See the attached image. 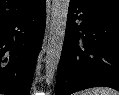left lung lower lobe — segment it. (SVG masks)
I'll use <instances>...</instances> for the list:
<instances>
[{
  "mask_svg": "<svg viewBox=\"0 0 119 95\" xmlns=\"http://www.w3.org/2000/svg\"><path fill=\"white\" fill-rule=\"evenodd\" d=\"M97 86L119 91V14L70 0L55 95Z\"/></svg>",
  "mask_w": 119,
  "mask_h": 95,
  "instance_id": "1",
  "label": "left lung lower lobe"
}]
</instances>
